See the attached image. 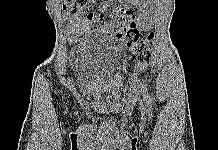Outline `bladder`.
I'll return each instance as SVG.
<instances>
[{
	"instance_id": "obj_1",
	"label": "bladder",
	"mask_w": 218,
	"mask_h": 150,
	"mask_svg": "<svg viewBox=\"0 0 218 150\" xmlns=\"http://www.w3.org/2000/svg\"><path fill=\"white\" fill-rule=\"evenodd\" d=\"M79 52L85 59L94 55L102 63H112L117 57L115 43L105 36L86 40L80 47ZM77 75L87 96L94 98L105 97L106 91L99 85L95 71L90 65L85 63L79 65Z\"/></svg>"
}]
</instances>
